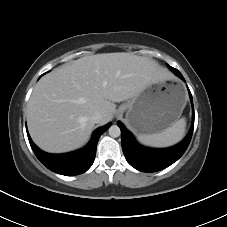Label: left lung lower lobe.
<instances>
[{
    "instance_id": "0a47b994",
    "label": "left lung lower lobe",
    "mask_w": 227,
    "mask_h": 227,
    "mask_svg": "<svg viewBox=\"0 0 227 227\" xmlns=\"http://www.w3.org/2000/svg\"><path fill=\"white\" fill-rule=\"evenodd\" d=\"M168 67L177 76L185 81L184 77L177 69L169 65ZM189 96L193 109L192 125L185 139L173 147L166 149H153L143 147L134 140L132 134L124 127L121 122L117 123L121 129V144L123 153L126 157V160L132 167L143 172H156L170 166L184 154L191 141L194 129V107L190 91Z\"/></svg>"
}]
</instances>
